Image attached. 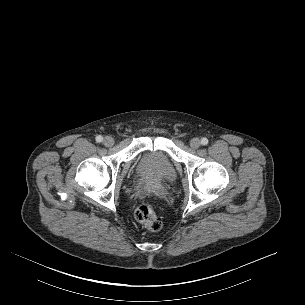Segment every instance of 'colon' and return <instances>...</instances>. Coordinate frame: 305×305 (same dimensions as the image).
I'll list each match as a JSON object with an SVG mask.
<instances>
[{"instance_id": "1", "label": "colon", "mask_w": 305, "mask_h": 305, "mask_svg": "<svg viewBox=\"0 0 305 305\" xmlns=\"http://www.w3.org/2000/svg\"><path fill=\"white\" fill-rule=\"evenodd\" d=\"M136 220L151 231H158L162 227V218L156 213L150 203H142L135 211Z\"/></svg>"}]
</instances>
